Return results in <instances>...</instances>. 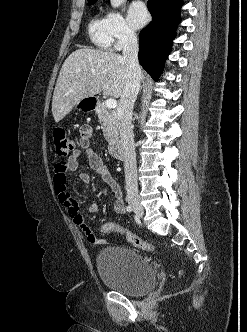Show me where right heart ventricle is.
<instances>
[{
  "instance_id": "right-heart-ventricle-1",
  "label": "right heart ventricle",
  "mask_w": 247,
  "mask_h": 332,
  "mask_svg": "<svg viewBox=\"0 0 247 332\" xmlns=\"http://www.w3.org/2000/svg\"><path fill=\"white\" fill-rule=\"evenodd\" d=\"M91 42L98 48L109 50L113 46V38L109 30L107 14L96 13L88 24Z\"/></svg>"
}]
</instances>
